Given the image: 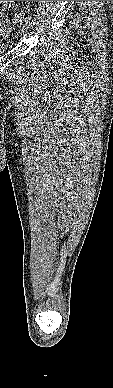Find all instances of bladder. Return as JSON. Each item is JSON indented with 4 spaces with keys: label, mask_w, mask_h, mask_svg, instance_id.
I'll return each mask as SVG.
<instances>
[{
    "label": "bladder",
    "mask_w": 113,
    "mask_h": 388,
    "mask_svg": "<svg viewBox=\"0 0 113 388\" xmlns=\"http://www.w3.org/2000/svg\"><path fill=\"white\" fill-rule=\"evenodd\" d=\"M10 29H11V25L8 22L4 20L0 22V55L7 52L8 48H7V45L4 43V39L6 38Z\"/></svg>",
    "instance_id": "1"
}]
</instances>
